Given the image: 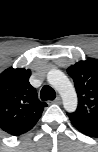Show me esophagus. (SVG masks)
<instances>
[{"mask_svg":"<svg viewBox=\"0 0 98 152\" xmlns=\"http://www.w3.org/2000/svg\"><path fill=\"white\" fill-rule=\"evenodd\" d=\"M61 102H62V100H61L60 97H57V98L53 101V103H55V104H61Z\"/></svg>","mask_w":98,"mask_h":152,"instance_id":"esophagus-1","label":"esophagus"}]
</instances>
